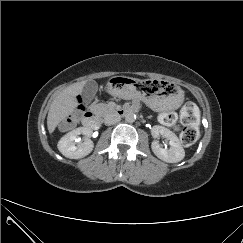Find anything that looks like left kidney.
Masks as SVG:
<instances>
[{
    "label": "left kidney",
    "mask_w": 243,
    "mask_h": 243,
    "mask_svg": "<svg viewBox=\"0 0 243 243\" xmlns=\"http://www.w3.org/2000/svg\"><path fill=\"white\" fill-rule=\"evenodd\" d=\"M151 134L155 139L161 135L169 140L170 148H162L157 140L152 142V151L159 159L167 163H177L185 157V151L179 138L171 130L164 126L155 125L152 128Z\"/></svg>",
    "instance_id": "obj_1"
}]
</instances>
